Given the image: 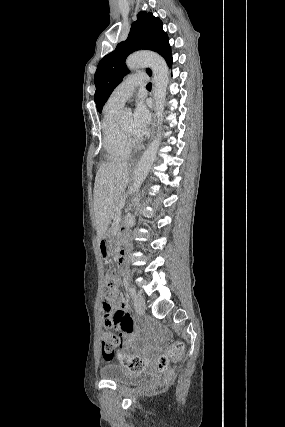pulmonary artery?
<instances>
[{"label":"pulmonary artery","instance_id":"obj_1","mask_svg":"<svg viewBox=\"0 0 285 427\" xmlns=\"http://www.w3.org/2000/svg\"><path fill=\"white\" fill-rule=\"evenodd\" d=\"M146 83L147 75H130L118 87L115 88V90L111 93L108 102L110 104L122 107L133 95L135 87L144 86Z\"/></svg>","mask_w":285,"mask_h":427}]
</instances>
